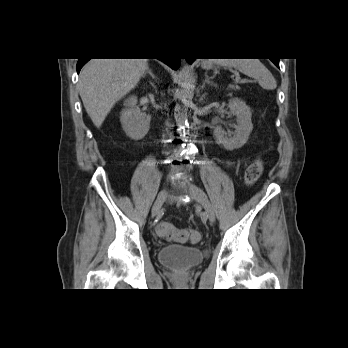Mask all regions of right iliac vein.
<instances>
[{
  "instance_id": "obj_1",
  "label": "right iliac vein",
  "mask_w": 348,
  "mask_h": 348,
  "mask_svg": "<svg viewBox=\"0 0 348 348\" xmlns=\"http://www.w3.org/2000/svg\"><path fill=\"white\" fill-rule=\"evenodd\" d=\"M167 195H168L167 188H163L159 192V194H158V196L153 204V207H152V214H157L159 212V210L161 209V207L163 206V203L165 202V200L167 198Z\"/></svg>"
}]
</instances>
